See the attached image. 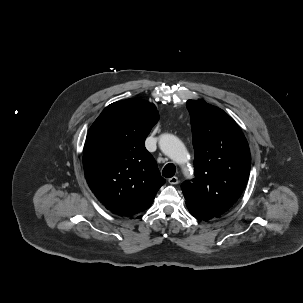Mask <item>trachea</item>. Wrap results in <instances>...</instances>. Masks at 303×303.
<instances>
[{"label":"trachea","instance_id":"obj_1","mask_svg":"<svg viewBox=\"0 0 303 303\" xmlns=\"http://www.w3.org/2000/svg\"><path fill=\"white\" fill-rule=\"evenodd\" d=\"M175 172H176L175 165L172 163H169L164 167V169L162 171V175L166 178H171L174 176Z\"/></svg>","mask_w":303,"mask_h":303}]
</instances>
